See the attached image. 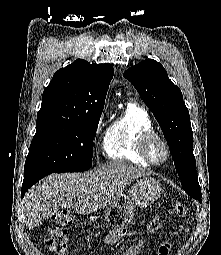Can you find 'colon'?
I'll list each match as a JSON object with an SVG mask.
<instances>
[{"label": "colon", "instance_id": "1", "mask_svg": "<svg viewBox=\"0 0 221 255\" xmlns=\"http://www.w3.org/2000/svg\"><path fill=\"white\" fill-rule=\"evenodd\" d=\"M188 205L185 202H177L172 214L185 217L188 214ZM163 217L154 218L149 226L150 233L157 232L164 224ZM52 225L45 227V244L55 255H66L68 250L67 230L74 223V218L69 211H59L52 218Z\"/></svg>", "mask_w": 221, "mask_h": 255}]
</instances>
